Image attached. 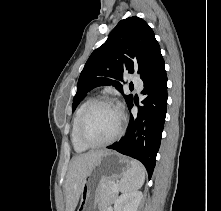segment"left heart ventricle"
Instances as JSON below:
<instances>
[{"mask_svg":"<svg viewBox=\"0 0 221 211\" xmlns=\"http://www.w3.org/2000/svg\"><path fill=\"white\" fill-rule=\"evenodd\" d=\"M119 124L120 115L116 108L108 105L98 106L87 119L86 137L94 142L106 140L116 133Z\"/></svg>","mask_w":221,"mask_h":211,"instance_id":"b2bd125f","label":"left heart ventricle"}]
</instances>
